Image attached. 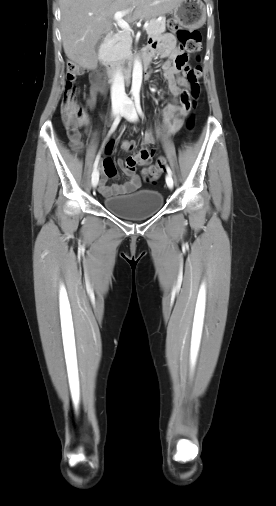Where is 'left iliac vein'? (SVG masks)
Listing matches in <instances>:
<instances>
[{
	"instance_id": "left-iliac-vein-1",
	"label": "left iliac vein",
	"mask_w": 276,
	"mask_h": 506,
	"mask_svg": "<svg viewBox=\"0 0 276 506\" xmlns=\"http://www.w3.org/2000/svg\"><path fill=\"white\" fill-rule=\"evenodd\" d=\"M122 114L126 117L127 120L135 122L138 118L136 109L131 100H129L128 105L125 109H123ZM166 183L169 188H173V179L171 175L166 176Z\"/></svg>"
}]
</instances>
